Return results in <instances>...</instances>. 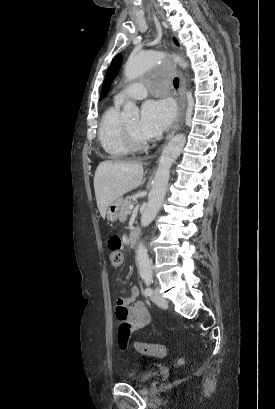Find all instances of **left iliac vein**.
Returning a JSON list of instances; mask_svg holds the SVG:
<instances>
[{
    "instance_id": "1",
    "label": "left iliac vein",
    "mask_w": 275,
    "mask_h": 409,
    "mask_svg": "<svg viewBox=\"0 0 275 409\" xmlns=\"http://www.w3.org/2000/svg\"><path fill=\"white\" fill-rule=\"evenodd\" d=\"M151 300L157 304L160 308H167V300L159 293L158 290L154 291Z\"/></svg>"
}]
</instances>
